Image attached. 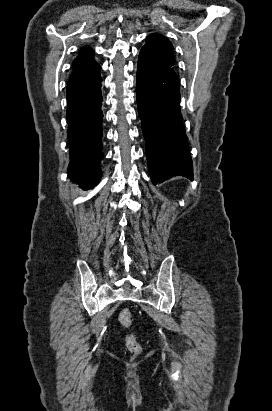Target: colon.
Returning <instances> with one entry per match:
<instances>
[{
  "label": "colon",
  "mask_w": 272,
  "mask_h": 411,
  "mask_svg": "<svg viewBox=\"0 0 272 411\" xmlns=\"http://www.w3.org/2000/svg\"><path fill=\"white\" fill-rule=\"evenodd\" d=\"M119 320L124 326H131L132 324V315L129 311L124 310L119 315ZM126 347L134 355H139L142 351L141 344L137 341L136 337L133 334H128L125 338Z\"/></svg>",
  "instance_id": "1"
}]
</instances>
